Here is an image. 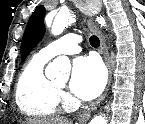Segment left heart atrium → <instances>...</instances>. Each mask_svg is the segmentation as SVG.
<instances>
[{
  "instance_id": "39dd6f15",
  "label": "left heart atrium",
  "mask_w": 145,
  "mask_h": 124,
  "mask_svg": "<svg viewBox=\"0 0 145 124\" xmlns=\"http://www.w3.org/2000/svg\"><path fill=\"white\" fill-rule=\"evenodd\" d=\"M105 82L104 68L96 57H78L74 60L69 87L76 96L84 100L93 99L101 93Z\"/></svg>"
}]
</instances>
